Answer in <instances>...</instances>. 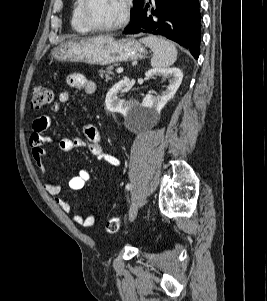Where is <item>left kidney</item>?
<instances>
[{
    "instance_id": "left-kidney-1",
    "label": "left kidney",
    "mask_w": 267,
    "mask_h": 301,
    "mask_svg": "<svg viewBox=\"0 0 267 301\" xmlns=\"http://www.w3.org/2000/svg\"><path fill=\"white\" fill-rule=\"evenodd\" d=\"M145 76L147 78L153 76H163L169 80V85L160 95L153 96L148 94L142 101L141 106L155 110L162 109L167 102L173 98L183 79L182 71L176 67L151 69L145 73ZM128 85L129 83L127 80H121L109 90L105 99V105L108 111L112 113H126L131 109V101L127 102L118 97L119 93L123 89L127 88Z\"/></svg>"
}]
</instances>
